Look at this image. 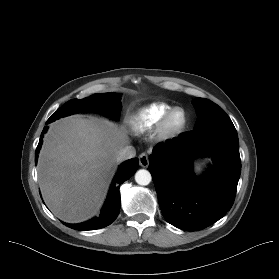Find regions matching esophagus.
<instances>
[{
	"label": "esophagus",
	"instance_id": "1",
	"mask_svg": "<svg viewBox=\"0 0 279 279\" xmlns=\"http://www.w3.org/2000/svg\"><path fill=\"white\" fill-rule=\"evenodd\" d=\"M139 163L142 167L146 168L149 166V158L147 156V154L145 153H142L140 156H139Z\"/></svg>",
	"mask_w": 279,
	"mask_h": 279
}]
</instances>
